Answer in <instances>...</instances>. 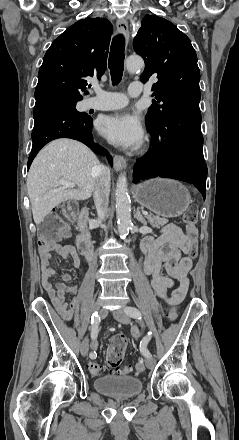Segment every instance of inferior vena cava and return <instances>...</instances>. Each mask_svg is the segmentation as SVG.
Here are the masks:
<instances>
[{"mask_svg": "<svg viewBox=\"0 0 239 440\" xmlns=\"http://www.w3.org/2000/svg\"><path fill=\"white\" fill-rule=\"evenodd\" d=\"M97 178L94 186V202L97 210L99 222L104 220L108 212L109 192H110V170L106 166H98L96 170Z\"/></svg>", "mask_w": 239, "mask_h": 440, "instance_id": "inferior-vena-cava-1", "label": "inferior vena cava"}]
</instances>
